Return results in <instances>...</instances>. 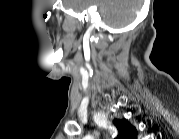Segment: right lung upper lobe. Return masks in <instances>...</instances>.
Masks as SVG:
<instances>
[{
    "label": "right lung upper lobe",
    "instance_id": "right-lung-upper-lobe-1",
    "mask_svg": "<svg viewBox=\"0 0 179 139\" xmlns=\"http://www.w3.org/2000/svg\"><path fill=\"white\" fill-rule=\"evenodd\" d=\"M114 124L119 130L118 139H136L137 131L136 129L125 119L114 120Z\"/></svg>",
    "mask_w": 179,
    "mask_h": 139
}]
</instances>
